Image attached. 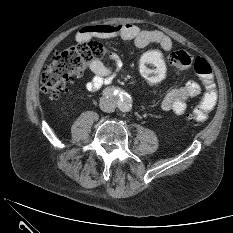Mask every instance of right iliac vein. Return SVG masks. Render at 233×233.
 <instances>
[{"label":"right iliac vein","instance_id":"63e3f726","mask_svg":"<svg viewBox=\"0 0 233 233\" xmlns=\"http://www.w3.org/2000/svg\"><path fill=\"white\" fill-rule=\"evenodd\" d=\"M105 106V104H101V107H104Z\"/></svg>","mask_w":233,"mask_h":233}]
</instances>
